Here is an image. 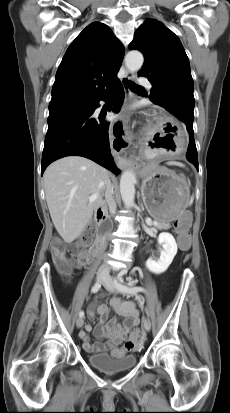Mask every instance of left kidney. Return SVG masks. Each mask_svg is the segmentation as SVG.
Listing matches in <instances>:
<instances>
[{
	"label": "left kidney",
	"mask_w": 230,
	"mask_h": 413,
	"mask_svg": "<svg viewBox=\"0 0 230 413\" xmlns=\"http://www.w3.org/2000/svg\"><path fill=\"white\" fill-rule=\"evenodd\" d=\"M158 241L162 244L163 247L160 253V258L157 261L153 260L152 258H149L146 261V267L149 269V271L155 274L164 273L172 263L177 253L176 241L170 233H160Z\"/></svg>",
	"instance_id": "left-kidney-1"
}]
</instances>
